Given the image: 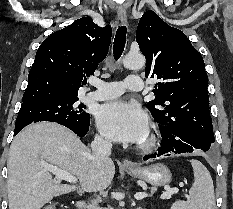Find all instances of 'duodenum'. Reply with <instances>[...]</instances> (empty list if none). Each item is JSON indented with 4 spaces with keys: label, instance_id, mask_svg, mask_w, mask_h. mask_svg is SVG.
Wrapping results in <instances>:
<instances>
[{
    "label": "duodenum",
    "instance_id": "410a0bca",
    "mask_svg": "<svg viewBox=\"0 0 233 209\" xmlns=\"http://www.w3.org/2000/svg\"><path fill=\"white\" fill-rule=\"evenodd\" d=\"M77 209H85L86 205L84 201H77L76 202Z\"/></svg>",
    "mask_w": 233,
    "mask_h": 209
}]
</instances>
